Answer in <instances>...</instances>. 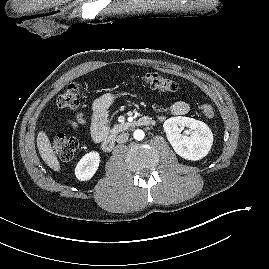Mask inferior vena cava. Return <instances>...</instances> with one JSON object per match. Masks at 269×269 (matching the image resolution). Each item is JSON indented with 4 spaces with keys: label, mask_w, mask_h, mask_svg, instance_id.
<instances>
[{
    "label": "inferior vena cava",
    "mask_w": 269,
    "mask_h": 269,
    "mask_svg": "<svg viewBox=\"0 0 269 269\" xmlns=\"http://www.w3.org/2000/svg\"><path fill=\"white\" fill-rule=\"evenodd\" d=\"M128 138H129L128 133H122L117 137L116 140L118 143H125V142H127Z\"/></svg>",
    "instance_id": "602c4592"
}]
</instances>
